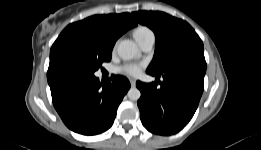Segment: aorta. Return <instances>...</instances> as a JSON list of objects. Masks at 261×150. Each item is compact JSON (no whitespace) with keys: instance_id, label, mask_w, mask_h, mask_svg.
<instances>
[{"instance_id":"aorta-1","label":"aorta","mask_w":261,"mask_h":150,"mask_svg":"<svg viewBox=\"0 0 261 150\" xmlns=\"http://www.w3.org/2000/svg\"><path fill=\"white\" fill-rule=\"evenodd\" d=\"M138 52L139 50L137 45L131 40H123L118 44L117 47L118 55L124 60L134 58L135 56H137ZM127 95L129 99L137 101L141 96V92L138 88L131 87Z\"/></svg>"}]
</instances>
